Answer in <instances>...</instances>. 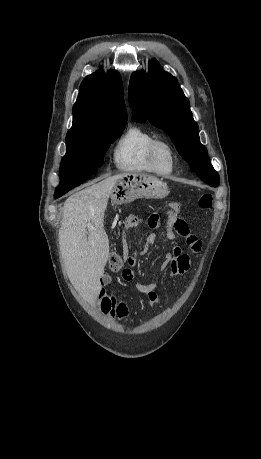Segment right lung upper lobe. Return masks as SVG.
<instances>
[{
    "mask_svg": "<svg viewBox=\"0 0 261 459\" xmlns=\"http://www.w3.org/2000/svg\"><path fill=\"white\" fill-rule=\"evenodd\" d=\"M127 112L117 71H97L85 78L73 106V125L66 138L96 127L124 124Z\"/></svg>",
    "mask_w": 261,
    "mask_h": 459,
    "instance_id": "cb5924a9",
    "label": "right lung upper lobe"
}]
</instances>
